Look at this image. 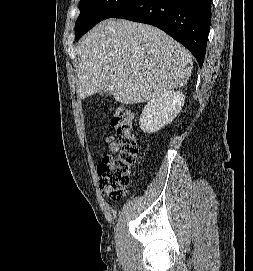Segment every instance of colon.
I'll use <instances>...</instances> for the list:
<instances>
[{"label": "colon", "mask_w": 253, "mask_h": 271, "mask_svg": "<svg viewBox=\"0 0 253 271\" xmlns=\"http://www.w3.org/2000/svg\"><path fill=\"white\" fill-rule=\"evenodd\" d=\"M112 126L119 139L120 149L105 155L98 164L100 191L113 202L120 201L128 188L136 166L138 146L133 133L134 115L124 106L116 108Z\"/></svg>", "instance_id": "obj_1"}]
</instances>
